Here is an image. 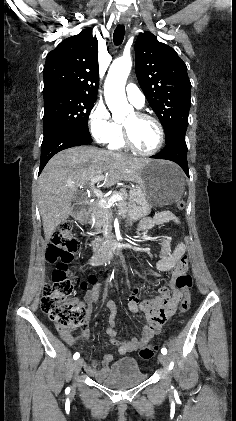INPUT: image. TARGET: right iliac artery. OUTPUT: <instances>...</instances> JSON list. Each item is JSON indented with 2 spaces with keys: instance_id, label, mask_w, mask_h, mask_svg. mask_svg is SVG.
<instances>
[{
  "instance_id": "obj_1",
  "label": "right iliac artery",
  "mask_w": 236,
  "mask_h": 421,
  "mask_svg": "<svg viewBox=\"0 0 236 421\" xmlns=\"http://www.w3.org/2000/svg\"><path fill=\"white\" fill-rule=\"evenodd\" d=\"M80 357V354L78 352H76L73 356L74 360H77Z\"/></svg>"
}]
</instances>
